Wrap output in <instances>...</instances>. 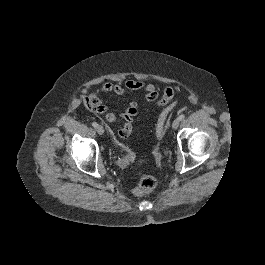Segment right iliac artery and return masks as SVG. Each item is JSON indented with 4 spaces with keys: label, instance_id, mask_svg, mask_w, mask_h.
<instances>
[{
    "label": "right iliac artery",
    "instance_id": "right-iliac-artery-1",
    "mask_svg": "<svg viewBox=\"0 0 265 265\" xmlns=\"http://www.w3.org/2000/svg\"><path fill=\"white\" fill-rule=\"evenodd\" d=\"M92 126H93L94 128H97L98 124H97L96 122H93V123H92Z\"/></svg>",
    "mask_w": 265,
    "mask_h": 265
}]
</instances>
